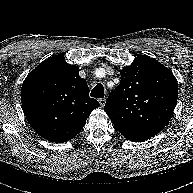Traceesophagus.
I'll list each match as a JSON object with an SVG mask.
<instances>
[{"label":"esophagus","instance_id":"esophagus-1","mask_svg":"<svg viewBox=\"0 0 193 193\" xmlns=\"http://www.w3.org/2000/svg\"><path fill=\"white\" fill-rule=\"evenodd\" d=\"M98 101H99V104H100L101 107H103L105 105V103H106V99L105 98H100Z\"/></svg>","mask_w":193,"mask_h":193}]
</instances>
